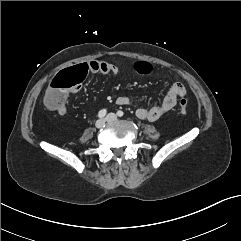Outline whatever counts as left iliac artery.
Wrapping results in <instances>:
<instances>
[{
    "label": "left iliac artery",
    "mask_w": 241,
    "mask_h": 241,
    "mask_svg": "<svg viewBox=\"0 0 241 241\" xmlns=\"http://www.w3.org/2000/svg\"><path fill=\"white\" fill-rule=\"evenodd\" d=\"M117 115H118L119 117H122V116L124 115V113H123V111L119 110V111H117Z\"/></svg>",
    "instance_id": "obj_1"
}]
</instances>
